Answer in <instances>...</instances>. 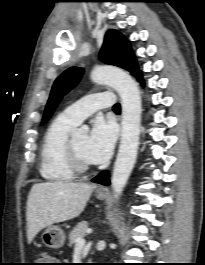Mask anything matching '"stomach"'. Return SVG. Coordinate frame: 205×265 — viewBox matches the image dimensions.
I'll use <instances>...</instances> for the list:
<instances>
[{"instance_id": "obj_1", "label": "stomach", "mask_w": 205, "mask_h": 265, "mask_svg": "<svg viewBox=\"0 0 205 265\" xmlns=\"http://www.w3.org/2000/svg\"><path fill=\"white\" fill-rule=\"evenodd\" d=\"M96 197L99 200H103L105 199L106 194L96 193ZM65 238L66 236L64 231L58 226H49L42 234V239L45 245L55 249L64 245Z\"/></svg>"}]
</instances>
